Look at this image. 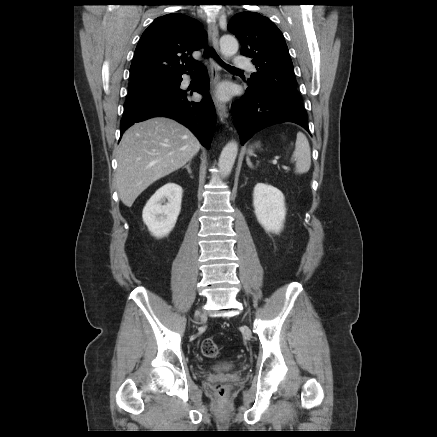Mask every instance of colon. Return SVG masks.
<instances>
[{"mask_svg":"<svg viewBox=\"0 0 437 437\" xmlns=\"http://www.w3.org/2000/svg\"><path fill=\"white\" fill-rule=\"evenodd\" d=\"M201 351L202 354L207 358L213 359L219 356V348L211 338H206L203 340L201 344ZM216 393L220 398H223L226 395V388L219 384L216 387Z\"/></svg>","mask_w":437,"mask_h":437,"instance_id":"5ec220e1","label":"colon"}]
</instances>
